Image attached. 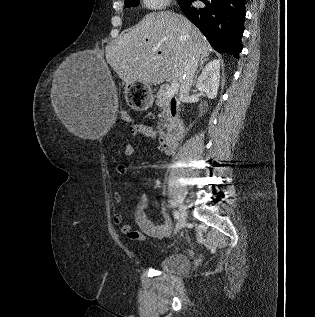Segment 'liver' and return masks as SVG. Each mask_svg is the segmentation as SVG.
<instances>
[{
  "instance_id": "1",
  "label": "liver",
  "mask_w": 315,
  "mask_h": 317,
  "mask_svg": "<svg viewBox=\"0 0 315 317\" xmlns=\"http://www.w3.org/2000/svg\"><path fill=\"white\" fill-rule=\"evenodd\" d=\"M212 48L186 17L171 11L147 14L140 23L106 49V60L126 84L158 85L180 81L188 61L208 56ZM160 52V53H159ZM71 63L67 59L61 67ZM58 117L73 134L81 136L80 123L55 107Z\"/></svg>"
}]
</instances>
